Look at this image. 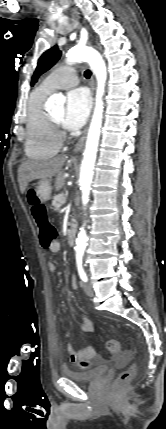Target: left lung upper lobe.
<instances>
[{"mask_svg": "<svg viewBox=\"0 0 166 429\" xmlns=\"http://www.w3.org/2000/svg\"><path fill=\"white\" fill-rule=\"evenodd\" d=\"M61 54L58 46H54L42 54L31 79L32 86L44 72L48 71L60 59Z\"/></svg>", "mask_w": 166, "mask_h": 429, "instance_id": "5c2ea615", "label": "left lung upper lobe"}]
</instances>
